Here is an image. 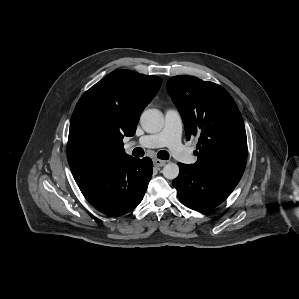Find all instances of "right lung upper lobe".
Masks as SVG:
<instances>
[{
    "label": "right lung upper lobe",
    "instance_id": "1",
    "mask_svg": "<svg viewBox=\"0 0 299 299\" xmlns=\"http://www.w3.org/2000/svg\"><path fill=\"white\" fill-rule=\"evenodd\" d=\"M162 79L130 70H117L87 90L78 101L71 120L85 113L100 117L106 143L99 154L82 166L128 157L124 136H133L143 109L158 92ZM80 167V166H77Z\"/></svg>",
    "mask_w": 299,
    "mask_h": 299
}]
</instances>
